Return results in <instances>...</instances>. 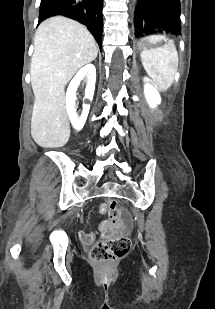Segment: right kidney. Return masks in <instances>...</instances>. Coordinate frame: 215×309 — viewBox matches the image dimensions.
<instances>
[{
    "mask_svg": "<svg viewBox=\"0 0 215 309\" xmlns=\"http://www.w3.org/2000/svg\"><path fill=\"white\" fill-rule=\"evenodd\" d=\"M84 76H87L84 98H90L91 100V98H93L96 82V68L94 64H85V66H82L77 74H75L74 78H72L66 92L67 112L74 128H77V130L83 128L90 108V104H83L82 114L80 118H78L75 106L76 90Z\"/></svg>",
    "mask_w": 215,
    "mask_h": 309,
    "instance_id": "ca27d5eb",
    "label": "right kidney"
}]
</instances>
